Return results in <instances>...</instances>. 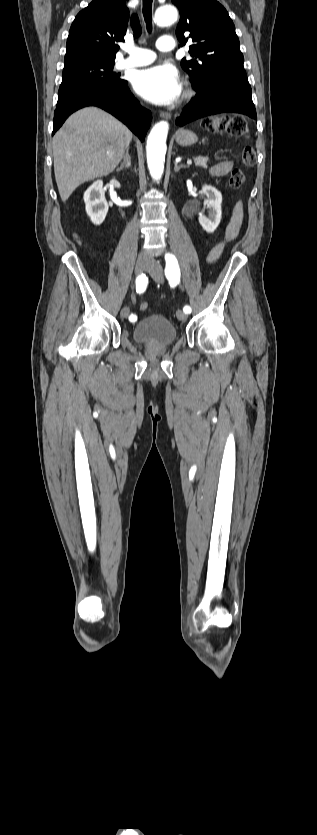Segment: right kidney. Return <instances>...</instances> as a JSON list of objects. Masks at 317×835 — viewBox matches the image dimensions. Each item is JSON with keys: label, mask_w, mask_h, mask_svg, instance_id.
<instances>
[{"label": "right kidney", "mask_w": 317, "mask_h": 835, "mask_svg": "<svg viewBox=\"0 0 317 835\" xmlns=\"http://www.w3.org/2000/svg\"><path fill=\"white\" fill-rule=\"evenodd\" d=\"M86 213L95 225L105 220L108 203L105 199L102 180L95 181L84 193Z\"/></svg>", "instance_id": "ca27d5eb"}]
</instances>
